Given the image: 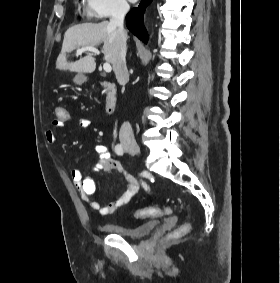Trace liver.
<instances>
[{"label": "liver", "instance_id": "obj_1", "mask_svg": "<svg viewBox=\"0 0 280 283\" xmlns=\"http://www.w3.org/2000/svg\"><path fill=\"white\" fill-rule=\"evenodd\" d=\"M100 44H103L102 52L105 61L111 63L115 71L121 38L117 28L106 21L83 23L70 27L65 32L61 53L56 61V68L78 73H92L96 68V63L91 54L71 62L67 61L66 54L79 47H96Z\"/></svg>", "mask_w": 280, "mask_h": 283}]
</instances>
